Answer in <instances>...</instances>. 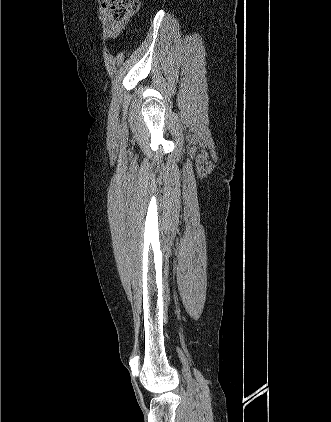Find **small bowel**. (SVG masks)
Here are the masks:
<instances>
[{
  "label": "small bowel",
  "instance_id": "small-bowel-1",
  "mask_svg": "<svg viewBox=\"0 0 331 422\" xmlns=\"http://www.w3.org/2000/svg\"><path fill=\"white\" fill-rule=\"evenodd\" d=\"M102 13L106 22V36L111 38H117L120 36L123 33L125 27L123 24H119L111 20L106 0H103L102 2Z\"/></svg>",
  "mask_w": 331,
  "mask_h": 422
}]
</instances>
